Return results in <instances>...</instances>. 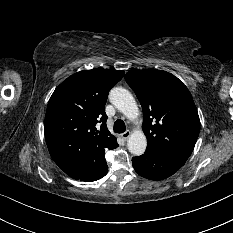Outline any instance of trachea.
Returning <instances> with one entry per match:
<instances>
[{
	"label": "trachea",
	"instance_id": "3493384b",
	"mask_svg": "<svg viewBox=\"0 0 233 233\" xmlns=\"http://www.w3.org/2000/svg\"><path fill=\"white\" fill-rule=\"evenodd\" d=\"M113 130L115 133H123L126 130V125L124 123V121L118 119L115 121L114 123V127Z\"/></svg>",
	"mask_w": 233,
	"mask_h": 233
}]
</instances>
